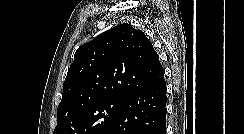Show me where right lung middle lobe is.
Masks as SVG:
<instances>
[{"mask_svg": "<svg viewBox=\"0 0 244 134\" xmlns=\"http://www.w3.org/2000/svg\"><path fill=\"white\" fill-rule=\"evenodd\" d=\"M127 99L110 98L90 104L58 120L53 134H102L117 118Z\"/></svg>", "mask_w": 244, "mask_h": 134, "instance_id": "obj_1", "label": "right lung middle lobe"}]
</instances>
